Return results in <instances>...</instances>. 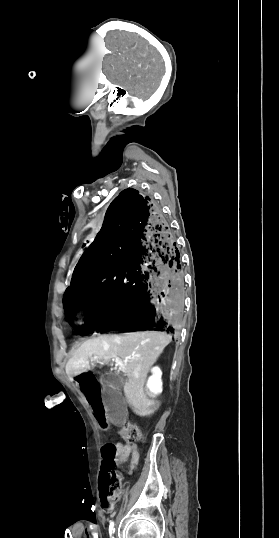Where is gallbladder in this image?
<instances>
[{"label": "gallbladder", "instance_id": "1", "mask_svg": "<svg viewBox=\"0 0 279 538\" xmlns=\"http://www.w3.org/2000/svg\"><path fill=\"white\" fill-rule=\"evenodd\" d=\"M124 380L123 374H117V372L104 374L100 378V382L106 392L103 396V403L105 405H112L110 412L107 414V421L109 423H116L117 426L123 425V420L120 418L124 420L129 418L125 410V401L121 398L118 391L121 390Z\"/></svg>", "mask_w": 279, "mask_h": 538}]
</instances>
